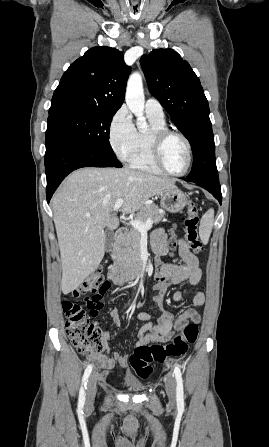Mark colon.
Returning <instances> with one entry per match:
<instances>
[{"label":"colon","mask_w":269,"mask_h":447,"mask_svg":"<svg viewBox=\"0 0 269 447\" xmlns=\"http://www.w3.org/2000/svg\"><path fill=\"white\" fill-rule=\"evenodd\" d=\"M200 209L196 203L187 205V218L185 220L186 238L190 248L200 253L203 250L199 238ZM170 244H177L176 233H172ZM107 291L105 275L94 273L88 276L80 286L75 289L72 296L83 295L85 308L78 302L65 300L62 302V310L66 316V330L73 346L82 353L99 352L103 347V339H109V330H101L94 316L102 308L98 299ZM198 336V327L195 323H188L178 330L171 342L167 344H153L150 346L136 347L130 356V365L134 372L141 378H150L153 368L150 363H162L168 358H180L185 356L190 344L194 343Z\"/></svg>","instance_id":"1"}]
</instances>
